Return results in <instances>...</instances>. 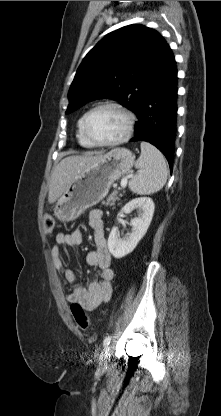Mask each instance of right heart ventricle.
I'll use <instances>...</instances> for the list:
<instances>
[{"label":"right heart ventricle","mask_w":221,"mask_h":416,"mask_svg":"<svg viewBox=\"0 0 221 416\" xmlns=\"http://www.w3.org/2000/svg\"><path fill=\"white\" fill-rule=\"evenodd\" d=\"M81 122H82V118L78 121V125H77V140L78 142L84 146V147H93L94 145H92L83 135L82 130H81Z\"/></svg>","instance_id":"1"}]
</instances>
